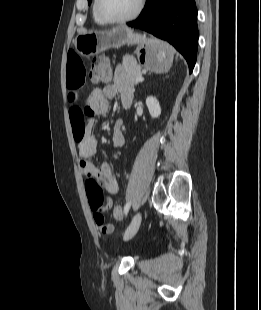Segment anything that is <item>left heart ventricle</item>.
I'll use <instances>...</instances> for the list:
<instances>
[{
    "label": "left heart ventricle",
    "mask_w": 261,
    "mask_h": 310,
    "mask_svg": "<svg viewBox=\"0 0 261 310\" xmlns=\"http://www.w3.org/2000/svg\"><path fill=\"white\" fill-rule=\"evenodd\" d=\"M138 0H100L101 12L109 18H122L130 15Z\"/></svg>",
    "instance_id": "obj_1"
}]
</instances>
